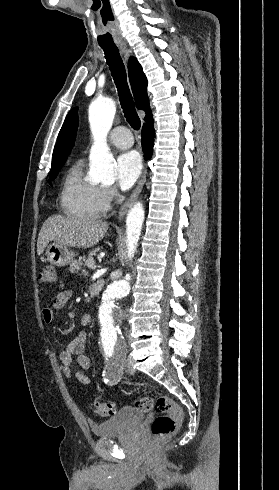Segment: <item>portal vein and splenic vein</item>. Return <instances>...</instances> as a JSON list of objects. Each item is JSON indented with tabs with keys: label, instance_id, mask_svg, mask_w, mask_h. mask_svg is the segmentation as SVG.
Returning <instances> with one entry per match:
<instances>
[{
	"label": "portal vein and splenic vein",
	"instance_id": "18ae733b",
	"mask_svg": "<svg viewBox=\"0 0 279 490\" xmlns=\"http://www.w3.org/2000/svg\"><path fill=\"white\" fill-rule=\"evenodd\" d=\"M85 266H87V268H93L94 266L93 260H90V262H85Z\"/></svg>",
	"mask_w": 279,
	"mask_h": 490
}]
</instances>
